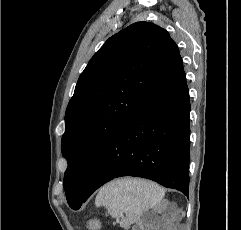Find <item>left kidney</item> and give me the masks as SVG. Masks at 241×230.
I'll list each match as a JSON object with an SVG mask.
<instances>
[{
	"label": "left kidney",
	"mask_w": 241,
	"mask_h": 230,
	"mask_svg": "<svg viewBox=\"0 0 241 230\" xmlns=\"http://www.w3.org/2000/svg\"><path fill=\"white\" fill-rule=\"evenodd\" d=\"M133 230H137V229L135 228V229H133ZM140 230H146V229H145V226H144V225H141V226H140Z\"/></svg>",
	"instance_id": "left-kidney-1"
}]
</instances>
